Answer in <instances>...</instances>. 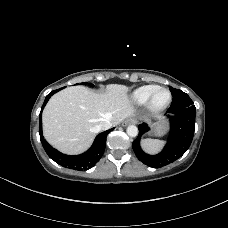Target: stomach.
<instances>
[{
  "mask_svg": "<svg viewBox=\"0 0 228 228\" xmlns=\"http://www.w3.org/2000/svg\"><path fill=\"white\" fill-rule=\"evenodd\" d=\"M168 131V124L165 120H159L155 123L152 135L163 136Z\"/></svg>",
  "mask_w": 228,
  "mask_h": 228,
  "instance_id": "1",
  "label": "stomach"
}]
</instances>
